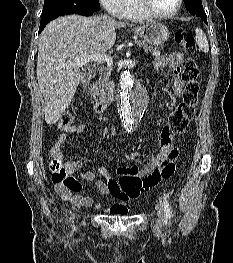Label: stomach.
<instances>
[{
    "instance_id": "0dacf381",
    "label": "stomach",
    "mask_w": 233,
    "mask_h": 263,
    "mask_svg": "<svg viewBox=\"0 0 233 263\" xmlns=\"http://www.w3.org/2000/svg\"><path fill=\"white\" fill-rule=\"evenodd\" d=\"M134 33L144 39L150 45H163L169 38V31L166 26L160 23H149L141 27H137Z\"/></svg>"
}]
</instances>
